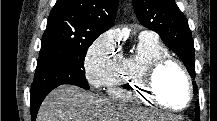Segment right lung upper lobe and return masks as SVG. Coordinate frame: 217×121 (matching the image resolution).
<instances>
[{"mask_svg":"<svg viewBox=\"0 0 217 121\" xmlns=\"http://www.w3.org/2000/svg\"><path fill=\"white\" fill-rule=\"evenodd\" d=\"M118 0H57L45 35L96 39L114 23Z\"/></svg>","mask_w":217,"mask_h":121,"instance_id":"cb5924a9","label":"right lung upper lobe"}]
</instances>
